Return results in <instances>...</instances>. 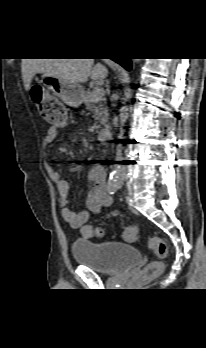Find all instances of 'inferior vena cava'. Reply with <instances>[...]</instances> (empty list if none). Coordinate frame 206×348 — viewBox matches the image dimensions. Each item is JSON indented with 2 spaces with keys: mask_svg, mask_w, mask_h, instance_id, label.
Here are the masks:
<instances>
[{
  "mask_svg": "<svg viewBox=\"0 0 206 348\" xmlns=\"http://www.w3.org/2000/svg\"><path fill=\"white\" fill-rule=\"evenodd\" d=\"M120 155H121V149L118 148V149H117V156L119 157Z\"/></svg>",
  "mask_w": 206,
  "mask_h": 348,
  "instance_id": "1",
  "label": "inferior vena cava"
}]
</instances>
